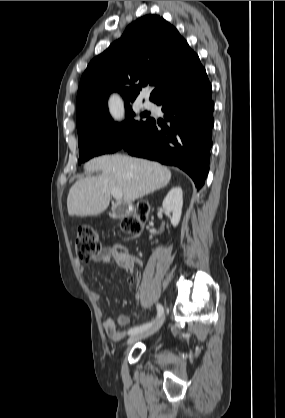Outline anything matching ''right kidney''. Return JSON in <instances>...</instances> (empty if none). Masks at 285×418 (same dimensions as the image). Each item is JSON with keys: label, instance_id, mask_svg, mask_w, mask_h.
I'll use <instances>...</instances> for the list:
<instances>
[{"label": "right kidney", "instance_id": "1", "mask_svg": "<svg viewBox=\"0 0 285 418\" xmlns=\"http://www.w3.org/2000/svg\"><path fill=\"white\" fill-rule=\"evenodd\" d=\"M162 206L168 214H171V224L176 227L182 214L183 192L181 187H173L165 197Z\"/></svg>", "mask_w": 285, "mask_h": 418}]
</instances>
